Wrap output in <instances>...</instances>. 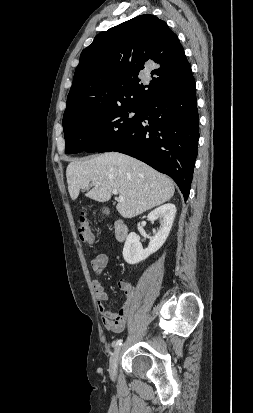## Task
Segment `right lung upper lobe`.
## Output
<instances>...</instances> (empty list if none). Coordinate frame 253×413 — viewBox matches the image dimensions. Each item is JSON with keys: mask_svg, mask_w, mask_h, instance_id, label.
Masks as SVG:
<instances>
[{"mask_svg": "<svg viewBox=\"0 0 253 413\" xmlns=\"http://www.w3.org/2000/svg\"><path fill=\"white\" fill-rule=\"evenodd\" d=\"M153 64L157 68L150 73ZM191 76L177 35L153 15L137 16L99 33L82 51L63 124L109 109L139 108L182 87Z\"/></svg>", "mask_w": 253, "mask_h": 413, "instance_id": "right-lung-upper-lobe-1", "label": "right lung upper lobe"}]
</instances>
